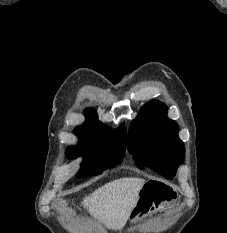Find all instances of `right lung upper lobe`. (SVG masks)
<instances>
[{
    "label": "right lung upper lobe",
    "instance_id": "cb5924a9",
    "mask_svg": "<svg viewBox=\"0 0 227 233\" xmlns=\"http://www.w3.org/2000/svg\"><path fill=\"white\" fill-rule=\"evenodd\" d=\"M84 115L86 122L74 129V133L79 137L81 144L92 145L110 138H116L122 142L125 148L127 133L124 125L117 131H113L98 120L94 109H86Z\"/></svg>",
    "mask_w": 227,
    "mask_h": 233
}]
</instances>
